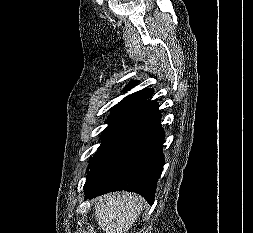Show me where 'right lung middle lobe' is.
<instances>
[{
	"instance_id": "1",
	"label": "right lung middle lobe",
	"mask_w": 253,
	"mask_h": 233,
	"mask_svg": "<svg viewBox=\"0 0 253 233\" xmlns=\"http://www.w3.org/2000/svg\"><path fill=\"white\" fill-rule=\"evenodd\" d=\"M136 105L130 103H119L112 108L111 114L108 117V127L103 131L101 139H106L129 115Z\"/></svg>"
}]
</instances>
